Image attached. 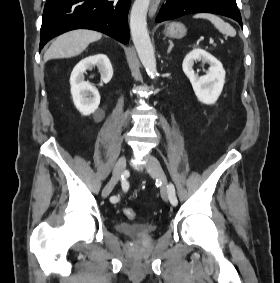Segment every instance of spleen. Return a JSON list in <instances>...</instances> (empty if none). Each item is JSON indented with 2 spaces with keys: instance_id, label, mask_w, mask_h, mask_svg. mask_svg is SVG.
<instances>
[{
  "instance_id": "spleen-1",
  "label": "spleen",
  "mask_w": 280,
  "mask_h": 283,
  "mask_svg": "<svg viewBox=\"0 0 280 283\" xmlns=\"http://www.w3.org/2000/svg\"><path fill=\"white\" fill-rule=\"evenodd\" d=\"M194 18H202L209 20L222 34L234 37L236 35L235 29L229 24L224 22L216 15L209 13H199L194 15Z\"/></svg>"
}]
</instances>
